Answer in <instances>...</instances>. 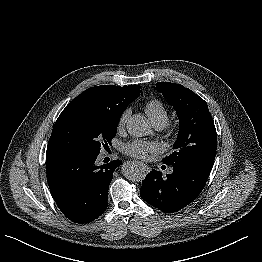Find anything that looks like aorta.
Returning <instances> with one entry per match:
<instances>
[{
  "mask_svg": "<svg viewBox=\"0 0 262 262\" xmlns=\"http://www.w3.org/2000/svg\"><path fill=\"white\" fill-rule=\"evenodd\" d=\"M127 131L134 137H144L151 134V124L141 114L133 115L127 122ZM123 175L133 182H140L145 179V167L136 161H128L122 165Z\"/></svg>",
  "mask_w": 262,
  "mask_h": 262,
  "instance_id": "obj_1",
  "label": "aorta"
}]
</instances>
